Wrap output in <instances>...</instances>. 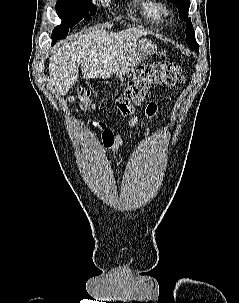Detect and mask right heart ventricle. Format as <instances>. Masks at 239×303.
I'll return each instance as SVG.
<instances>
[{
	"mask_svg": "<svg viewBox=\"0 0 239 303\" xmlns=\"http://www.w3.org/2000/svg\"><path fill=\"white\" fill-rule=\"evenodd\" d=\"M142 14L151 22L160 23L167 13L166 6L159 0H141Z\"/></svg>",
	"mask_w": 239,
	"mask_h": 303,
	"instance_id": "right-heart-ventricle-1",
	"label": "right heart ventricle"
}]
</instances>
